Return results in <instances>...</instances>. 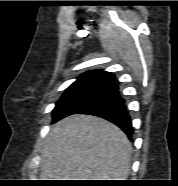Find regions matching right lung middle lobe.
Masks as SVG:
<instances>
[{
	"instance_id": "1",
	"label": "right lung middle lobe",
	"mask_w": 178,
	"mask_h": 186,
	"mask_svg": "<svg viewBox=\"0 0 178 186\" xmlns=\"http://www.w3.org/2000/svg\"><path fill=\"white\" fill-rule=\"evenodd\" d=\"M111 88L109 85H84L68 88L53 110V122H56L83 107Z\"/></svg>"
}]
</instances>
